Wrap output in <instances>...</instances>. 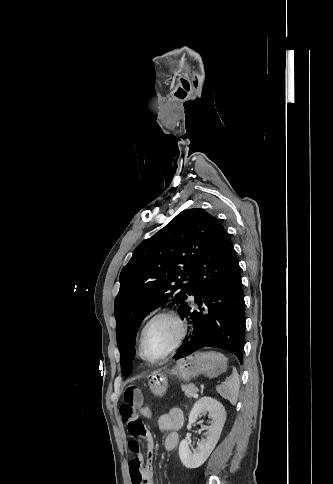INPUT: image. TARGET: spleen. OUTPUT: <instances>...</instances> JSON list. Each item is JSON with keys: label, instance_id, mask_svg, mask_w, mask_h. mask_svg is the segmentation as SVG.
<instances>
[{"label": "spleen", "instance_id": "obj_1", "mask_svg": "<svg viewBox=\"0 0 333 484\" xmlns=\"http://www.w3.org/2000/svg\"><path fill=\"white\" fill-rule=\"evenodd\" d=\"M239 385V375L234 369L232 375L223 384L218 385L216 390L222 398L228 400L232 405H235L238 399Z\"/></svg>", "mask_w": 333, "mask_h": 484}]
</instances>
